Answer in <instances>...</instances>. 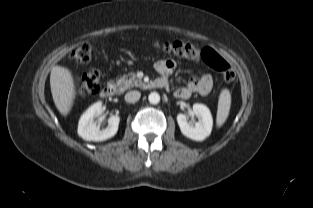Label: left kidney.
Listing matches in <instances>:
<instances>
[{
  "instance_id": "5707ae66",
  "label": "left kidney",
  "mask_w": 313,
  "mask_h": 208,
  "mask_svg": "<svg viewBox=\"0 0 313 208\" xmlns=\"http://www.w3.org/2000/svg\"><path fill=\"white\" fill-rule=\"evenodd\" d=\"M193 113L198 118L195 125H190L184 114L177 115V122L182 134L192 140L202 141L211 133L213 119L209 108L203 104H194Z\"/></svg>"
}]
</instances>
